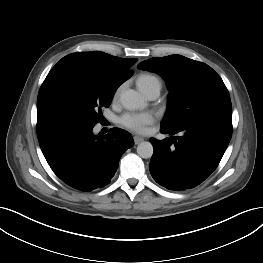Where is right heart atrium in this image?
Returning a JSON list of instances; mask_svg holds the SVG:
<instances>
[{
    "label": "right heart atrium",
    "instance_id": "obj_1",
    "mask_svg": "<svg viewBox=\"0 0 263 263\" xmlns=\"http://www.w3.org/2000/svg\"><path fill=\"white\" fill-rule=\"evenodd\" d=\"M119 89L115 92V97H117L118 96V94H119Z\"/></svg>",
    "mask_w": 263,
    "mask_h": 263
}]
</instances>
